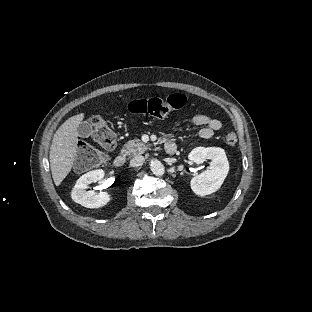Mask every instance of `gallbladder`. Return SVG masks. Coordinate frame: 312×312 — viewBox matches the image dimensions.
<instances>
[{
  "instance_id": "obj_1",
  "label": "gallbladder",
  "mask_w": 312,
  "mask_h": 312,
  "mask_svg": "<svg viewBox=\"0 0 312 312\" xmlns=\"http://www.w3.org/2000/svg\"><path fill=\"white\" fill-rule=\"evenodd\" d=\"M92 126L88 122H82L78 126V134L80 137H88L91 133Z\"/></svg>"
}]
</instances>
